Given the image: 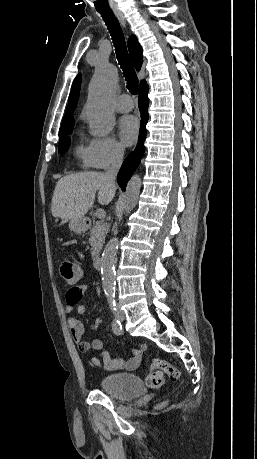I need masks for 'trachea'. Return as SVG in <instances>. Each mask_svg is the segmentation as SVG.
<instances>
[{
	"instance_id": "trachea-1",
	"label": "trachea",
	"mask_w": 257,
	"mask_h": 459,
	"mask_svg": "<svg viewBox=\"0 0 257 459\" xmlns=\"http://www.w3.org/2000/svg\"><path fill=\"white\" fill-rule=\"evenodd\" d=\"M99 13L112 37L117 59L127 82V88L131 94L135 95L138 90V78L128 55L122 28L112 11H99Z\"/></svg>"
}]
</instances>
